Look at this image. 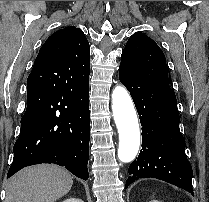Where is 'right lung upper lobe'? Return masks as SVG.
Masks as SVG:
<instances>
[{
	"instance_id": "right-lung-upper-lobe-1",
	"label": "right lung upper lobe",
	"mask_w": 209,
	"mask_h": 202,
	"mask_svg": "<svg viewBox=\"0 0 209 202\" xmlns=\"http://www.w3.org/2000/svg\"><path fill=\"white\" fill-rule=\"evenodd\" d=\"M35 62H50L57 71L55 74L67 77L74 84L89 82V43L83 31L74 26L53 33L41 47Z\"/></svg>"
}]
</instances>
